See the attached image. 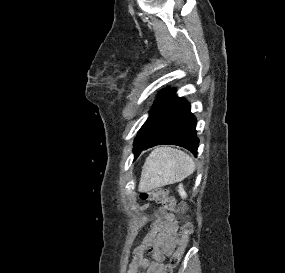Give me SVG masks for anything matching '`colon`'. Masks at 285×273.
I'll use <instances>...</instances> for the list:
<instances>
[{
  "instance_id": "obj_1",
  "label": "colon",
  "mask_w": 285,
  "mask_h": 273,
  "mask_svg": "<svg viewBox=\"0 0 285 273\" xmlns=\"http://www.w3.org/2000/svg\"><path fill=\"white\" fill-rule=\"evenodd\" d=\"M142 201H153L161 205L165 210L174 211L175 210V199L170 196L169 191L164 188H151L142 190L139 194ZM192 233V226L190 223H185L180 231V242L179 247L172 255L170 262L165 265L161 273H173L174 268L181 261L184 251L188 245L190 235Z\"/></svg>"
}]
</instances>
